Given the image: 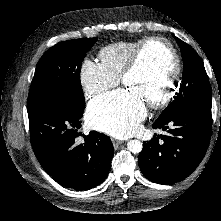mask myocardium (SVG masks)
<instances>
[{"label":"myocardium","mask_w":221,"mask_h":221,"mask_svg":"<svg viewBox=\"0 0 221 221\" xmlns=\"http://www.w3.org/2000/svg\"><path fill=\"white\" fill-rule=\"evenodd\" d=\"M152 43H161L165 45L172 59V70L167 87L157 99L147 103V106L150 108H161L165 106L175 94L181 71V61L177 53V50L167 38L154 36V37L144 38L141 42H139L136 45L135 49L133 50L127 65L125 66L124 70L121 73L120 78H121V83L125 84V81L129 77V75H131L138 67L142 52L147 46H149Z\"/></svg>","instance_id":"obj_1"}]
</instances>
